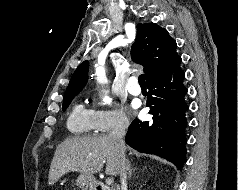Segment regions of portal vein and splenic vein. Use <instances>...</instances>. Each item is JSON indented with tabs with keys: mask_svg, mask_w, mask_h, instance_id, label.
Masks as SVG:
<instances>
[{
	"mask_svg": "<svg viewBox=\"0 0 238 190\" xmlns=\"http://www.w3.org/2000/svg\"><path fill=\"white\" fill-rule=\"evenodd\" d=\"M113 183V178H108L107 179V184H112Z\"/></svg>",
	"mask_w": 238,
	"mask_h": 190,
	"instance_id": "18ae733b",
	"label": "portal vein and splenic vein"
}]
</instances>
